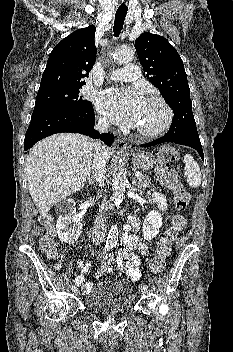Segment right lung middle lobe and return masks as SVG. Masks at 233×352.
<instances>
[{"mask_svg": "<svg viewBox=\"0 0 233 352\" xmlns=\"http://www.w3.org/2000/svg\"><path fill=\"white\" fill-rule=\"evenodd\" d=\"M82 85H47L38 90L34 113L50 110H77L92 107L82 99Z\"/></svg>", "mask_w": 233, "mask_h": 352, "instance_id": "1", "label": "right lung middle lobe"}]
</instances>
